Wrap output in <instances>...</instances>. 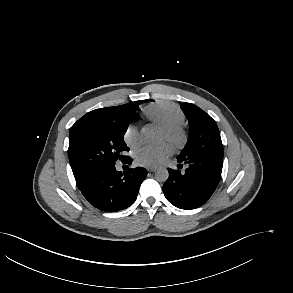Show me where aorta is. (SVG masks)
Segmentation results:
<instances>
[{"label":"aorta","mask_w":293,"mask_h":293,"mask_svg":"<svg viewBox=\"0 0 293 293\" xmlns=\"http://www.w3.org/2000/svg\"><path fill=\"white\" fill-rule=\"evenodd\" d=\"M142 137L147 143H157L160 139L159 134L152 128H143ZM169 173L166 168H159L155 171V179L159 182H165L168 179Z\"/></svg>","instance_id":"1"}]
</instances>
